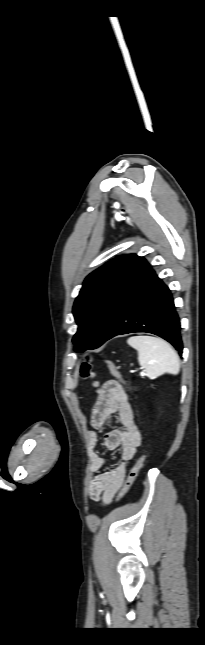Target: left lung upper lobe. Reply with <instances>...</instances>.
<instances>
[{
    "label": "left lung upper lobe",
    "instance_id": "left-lung-upper-lobe-1",
    "mask_svg": "<svg viewBox=\"0 0 205 645\" xmlns=\"http://www.w3.org/2000/svg\"><path fill=\"white\" fill-rule=\"evenodd\" d=\"M138 259L135 254L119 256L87 276L73 307L78 324L73 337L75 351L103 344L118 295Z\"/></svg>",
    "mask_w": 205,
    "mask_h": 645
}]
</instances>
